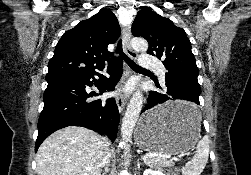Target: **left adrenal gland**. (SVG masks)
<instances>
[{"label":"left adrenal gland","instance_id":"1","mask_svg":"<svg viewBox=\"0 0 251 175\" xmlns=\"http://www.w3.org/2000/svg\"><path fill=\"white\" fill-rule=\"evenodd\" d=\"M138 169H140V159H138Z\"/></svg>","mask_w":251,"mask_h":175}]
</instances>
